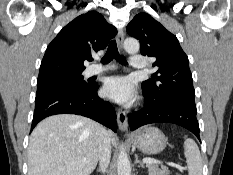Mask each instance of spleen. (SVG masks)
<instances>
[{"instance_id":"1","label":"spleen","mask_w":233,"mask_h":175,"mask_svg":"<svg viewBox=\"0 0 233 175\" xmlns=\"http://www.w3.org/2000/svg\"><path fill=\"white\" fill-rule=\"evenodd\" d=\"M184 155L186 157L189 175H202L201 154L196 142L193 139H185Z\"/></svg>"}]
</instances>
